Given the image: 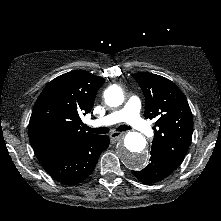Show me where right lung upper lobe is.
Segmentation results:
<instances>
[{"label":"right lung upper lobe","mask_w":221,"mask_h":221,"mask_svg":"<svg viewBox=\"0 0 221 221\" xmlns=\"http://www.w3.org/2000/svg\"><path fill=\"white\" fill-rule=\"evenodd\" d=\"M105 79L76 70L52 80L38 97L29 121L33 149L76 143L96 136L81 128Z\"/></svg>","instance_id":"obj_1"}]
</instances>
